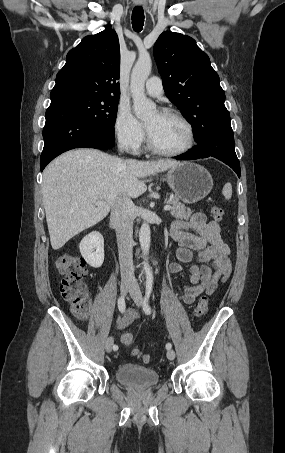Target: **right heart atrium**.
Returning <instances> with one entry per match:
<instances>
[{"label": "right heart atrium", "instance_id": "d8ad5b80", "mask_svg": "<svg viewBox=\"0 0 285 453\" xmlns=\"http://www.w3.org/2000/svg\"><path fill=\"white\" fill-rule=\"evenodd\" d=\"M114 134L118 143L126 150L136 153L145 139L143 125L125 106H120L114 120Z\"/></svg>", "mask_w": 285, "mask_h": 453}]
</instances>
